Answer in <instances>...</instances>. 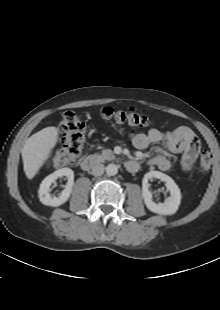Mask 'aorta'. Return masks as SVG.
<instances>
[{
    "mask_svg": "<svg viewBox=\"0 0 220 310\" xmlns=\"http://www.w3.org/2000/svg\"><path fill=\"white\" fill-rule=\"evenodd\" d=\"M106 173L108 176H115L118 173V166L116 164H108L106 167Z\"/></svg>",
    "mask_w": 220,
    "mask_h": 310,
    "instance_id": "1",
    "label": "aorta"
}]
</instances>
